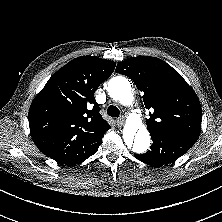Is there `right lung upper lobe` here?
<instances>
[{"instance_id": "cb5924a9", "label": "right lung upper lobe", "mask_w": 222, "mask_h": 222, "mask_svg": "<svg viewBox=\"0 0 222 222\" xmlns=\"http://www.w3.org/2000/svg\"><path fill=\"white\" fill-rule=\"evenodd\" d=\"M115 66L113 61L81 56L48 80L28 115L32 139L42 153L61 164H77L98 149L111 127L99 113L94 93Z\"/></svg>"}]
</instances>
